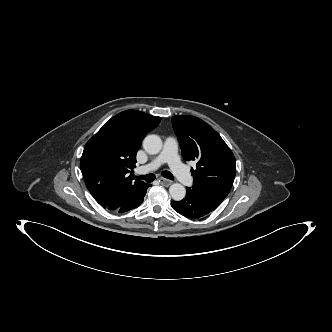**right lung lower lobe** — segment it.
<instances>
[{
	"mask_svg": "<svg viewBox=\"0 0 332 332\" xmlns=\"http://www.w3.org/2000/svg\"><path fill=\"white\" fill-rule=\"evenodd\" d=\"M149 186L151 185L145 183L122 202L117 204H110L104 207L111 211H116L119 213H124L134 208H137L142 204L147 188Z\"/></svg>",
	"mask_w": 332,
	"mask_h": 332,
	"instance_id": "right-lung-lower-lobe-1",
	"label": "right lung lower lobe"
}]
</instances>
